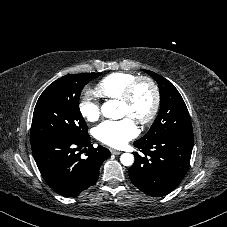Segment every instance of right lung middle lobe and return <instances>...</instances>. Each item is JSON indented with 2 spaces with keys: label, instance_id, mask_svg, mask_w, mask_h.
I'll return each instance as SVG.
<instances>
[{
  "label": "right lung middle lobe",
  "instance_id": "obj_1",
  "mask_svg": "<svg viewBox=\"0 0 227 227\" xmlns=\"http://www.w3.org/2000/svg\"><path fill=\"white\" fill-rule=\"evenodd\" d=\"M100 75H66L43 91L33 113L31 145L52 136L82 138L88 134V127L79 109V97L83 87Z\"/></svg>",
  "mask_w": 227,
  "mask_h": 227
}]
</instances>
